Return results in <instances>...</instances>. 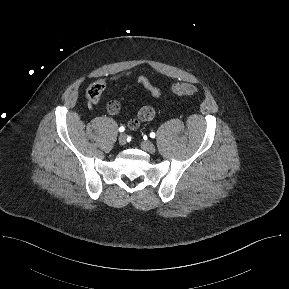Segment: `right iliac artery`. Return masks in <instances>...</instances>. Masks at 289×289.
<instances>
[{
	"label": "right iliac artery",
	"mask_w": 289,
	"mask_h": 289,
	"mask_svg": "<svg viewBox=\"0 0 289 289\" xmlns=\"http://www.w3.org/2000/svg\"><path fill=\"white\" fill-rule=\"evenodd\" d=\"M119 131H120V132H124V131H125V127L121 126V127L119 128Z\"/></svg>",
	"instance_id": "1"
}]
</instances>
